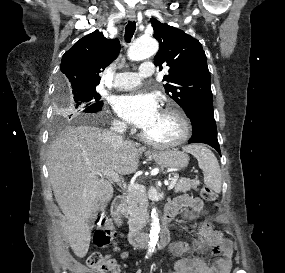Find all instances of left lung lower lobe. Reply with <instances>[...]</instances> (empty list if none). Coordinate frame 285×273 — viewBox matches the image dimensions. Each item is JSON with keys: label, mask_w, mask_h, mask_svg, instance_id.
Masks as SVG:
<instances>
[{"label": "left lung lower lobe", "mask_w": 285, "mask_h": 273, "mask_svg": "<svg viewBox=\"0 0 285 273\" xmlns=\"http://www.w3.org/2000/svg\"><path fill=\"white\" fill-rule=\"evenodd\" d=\"M188 117L193 129L189 143H205L220 153L213 108L194 110Z\"/></svg>", "instance_id": "left-lung-lower-lobe-1"}]
</instances>
